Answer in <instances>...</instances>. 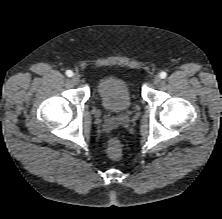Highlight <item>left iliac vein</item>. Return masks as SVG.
I'll return each instance as SVG.
<instances>
[{"instance_id":"left-iliac-vein-1","label":"left iliac vein","mask_w":222,"mask_h":219,"mask_svg":"<svg viewBox=\"0 0 222 219\" xmlns=\"http://www.w3.org/2000/svg\"><path fill=\"white\" fill-rule=\"evenodd\" d=\"M153 83L155 85H159L161 83V78L159 75H156L154 78H153Z\"/></svg>"}]
</instances>
